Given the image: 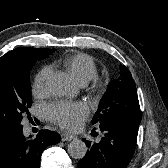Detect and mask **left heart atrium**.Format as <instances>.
<instances>
[{"label": "left heart atrium", "instance_id": "left-heart-atrium-1", "mask_svg": "<svg viewBox=\"0 0 168 168\" xmlns=\"http://www.w3.org/2000/svg\"><path fill=\"white\" fill-rule=\"evenodd\" d=\"M89 114L82 102H58L47 109L49 120L67 130L79 129Z\"/></svg>", "mask_w": 168, "mask_h": 168}]
</instances>
